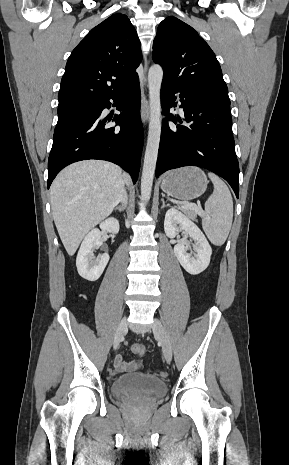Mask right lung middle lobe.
<instances>
[{
  "mask_svg": "<svg viewBox=\"0 0 289 465\" xmlns=\"http://www.w3.org/2000/svg\"><path fill=\"white\" fill-rule=\"evenodd\" d=\"M96 101H76L58 106V122L55 131H59L79 120L92 116L96 108Z\"/></svg>",
  "mask_w": 289,
  "mask_h": 465,
  "instance_id": "dd1d6c3e",
  "label": "right lung middle lobe"
}]
</instances>
